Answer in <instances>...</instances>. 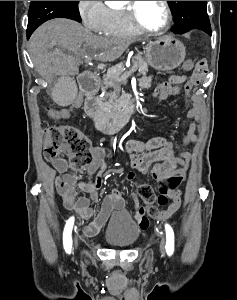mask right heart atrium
<instances>
[{"label": "right heart atrium", "instance_id": "d8ad5b80", "mask_svg": "<svg viewBox=\"0 0 237 300\" xmlns=\"http://www.w3.org/2000/svg\"><path fill=\"white\" fill-rule=\"evenodd\" d=\"M78 11L90 31L97 34L111 32V9L104 1H78Z\"/></svg>", "mask_w": 237, "mask_h": 300}]
</instances>
